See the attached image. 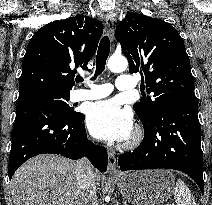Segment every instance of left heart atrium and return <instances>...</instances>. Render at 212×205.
I'll list each match as a JSON object with an SVG mask.
<instances>
[{"label": "left heart atrium", "instance_id": "39dd6f15", "mask_svg": "<svg viewBox=\"0 0 212 205\" xmlns=\"http://www.w3.org/2000/svg\"><path fill=\"white\" fill-rule=\"evenodd\" d=\"M86 123L89 132L102 140L123 141L133 132L132 113L122 108L114 99L91 104L87 111Z\"/></svg>", "mask_w": 212, "mask_h": 205}]
</instances>
